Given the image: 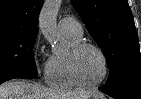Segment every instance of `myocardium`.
Returning <instances> with one entry per match:
<instances>
[{
  "label": "myocardium",
  "mask_w": 141,
  "mask_h": 99,
  "mask_svg": "<svg viewBox=\"0 0 141 99\" xmlns=\"http://www.w3.org/2000/svg\"><path fill=\"white\" fill-rule=\"evenodd\" d=\"M86 48H92V49L96 50L100 54V56L102 57V60H103V63H104V73H103L102 77L94 83H87L84 80H82V78L79 74V70H78L79 55ZM68 61H69V67H70V72H71L72 78L76 82V84L80 87H84V88L98 87L108 77V74H109L108 57H107L105 51L95 43L87 42V41L79 42L78 44L73 46L71 51L69 52Z\"/></svg>",
  "instance_id": "myocardium-1"
}]
</instances>
